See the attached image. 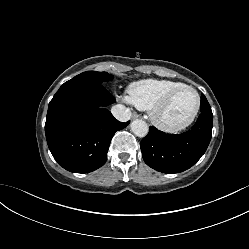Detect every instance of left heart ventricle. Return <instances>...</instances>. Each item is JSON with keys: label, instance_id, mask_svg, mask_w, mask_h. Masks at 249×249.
<instances>
[{"label": "left heart ventricle", "instance_id": "1", "mask_svg": "<svg viewBox=\"0 0 249 249\" xmlns=\"http://www.w3.org/2000/svg\"><path fill=\"white\" fill-rule=\"evenodd\" d=\"M196 96L190 90L179 91L169 105L161 112L160 118L169 124H177L184 121L193 111Z\"/></svg>", "mask_w": 249, "mask_h": 249}]
</instances>
